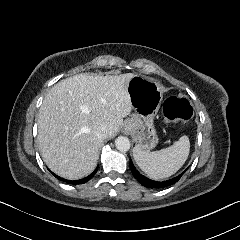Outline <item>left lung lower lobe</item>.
Instances as JSON below:
<instances>
[{
	"label": "left lung lower lobe",
	"instance_id": "left-lung-lower-lobe-1",
	"mask_svg": "<svg viewBox=\"0 0 240 240\" xmlns=\"http://www.w3.org/2000/svg\"><path fill=\"white\" fill-rule=\"evenodd\" d=\"M130 169L132 171V174L133 176L145 187L147 188H164V187H167V186H170L174 183H176L180 178L181 176L183 175L180 174L179 176L175 177V178H172L170 180H167V181H163V182H158V181H153L151 179H148L146 178L145 176L141 175L134 167V165L131 163L130 161Z\"/></svg>",
	"mask_w": 240,
	"mask_h": 240
}]
</instances>
